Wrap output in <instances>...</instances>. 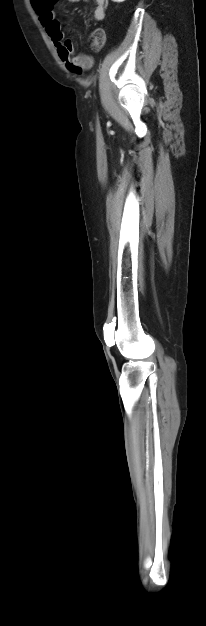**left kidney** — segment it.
I'll return each mask as SVG.
<instances>
[{
    "instance_id": "1",
    "label": "left kidney",
    "mask_w": 206,
    "mask_h": 626,
    "mask_svg": "<svg viewBox=\"0 0 206 626\" xmlns=\"http://www.w3.org/2000/svg\"><path fill=\"white\" fill-rule=\"evenodd\" d=\"M113 2H124L125 0H112Z\"/></svg>"
}]
</instances>
